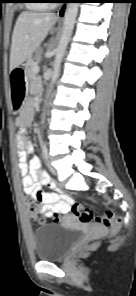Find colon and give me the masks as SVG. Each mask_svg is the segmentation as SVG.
Returning <instances> with one entry per match:
<instances>
[{
	"label": "colon",
	"mask_w": 136,
	"mask_h": 296,
	"mask_svg": "<svg viewBox=\"0 0 136 296\" xmlns=\"http://www.w3.org/2000/svg\"><path fill=\"white\" fill-rule=\"evenodd\" d=\"M26 210L32 216L38 215L40 210V205L38 201L28 200L26 202ZM70 211L83 224L95 222L99 225L110 227L113 229H119L121 225L120 220L116 219L114 213L111 211H107L102 215H94L89 208L77 202L71 203ZM40 221L43 222L44 220L40 218Z\"/></svg>",
	"instance_id": "1"
}]
</instances>
